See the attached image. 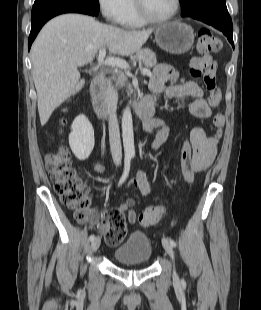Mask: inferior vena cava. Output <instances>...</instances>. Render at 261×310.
<instances>
[{
  "label": "inferior vena cava",
  "instance_id": "obj_1",
  "mask_svg": "<svg viewBox=\"0 0 261 310\" xmlns=\"http://www.w3.org/2000/svg\"><path fill=\"white\" fill-rule=\"evenodd\" d=\"M117 103L118 93L112 86L110 80L107 81V89L105 91L104 104L109 115V141L112 159L116 165L121 164L122 147L120 141V132L117 121Z\"/></svg>",
  "mask_w": 261,
  "mask_h": 310
}]
</instances>
